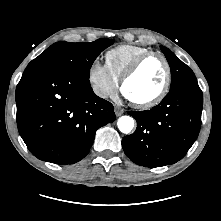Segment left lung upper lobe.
<instances>
[{"label": "left lung upper lobe", "mask_w": 221, "mask_h": 221, "mask_svg": "<svg viewBox=\"0 0 221 221\" xmlns=\"http://www.w3.org/2000/svg\"><path fill=\"white\" fill-rule=\"evenodd\" d=\"M167 58L171 69V87L170 90L188 82H197L196 77L186 64L175 56L168 48L160 46Z\"/></svg>", "instance_id": "obj_1"}]
</instances>
